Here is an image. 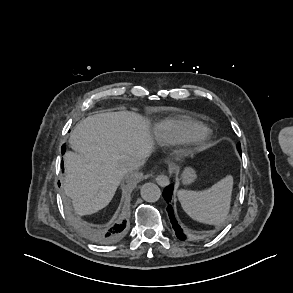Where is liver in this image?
Instances as JSON below:
<instances>
[{
    "label": "liver",
    "instance_id": "6515ba94",
    "mask_svg": "<svg viewBox=\"0 0 293 293\" xmlns=\"http://www.w3.org/2000/svg\"><path fill=\"white\" fill-rule=\"evenodd\" d=\"M69 144L75 152L64 156L63 187L81 216L107 206L128 172V162L147 157L153 149L148 121L128 111L88 116L75 126Z\"/></svg>",
    "mask_w": 293,
    "mask_h": 293
}]
</instances>
